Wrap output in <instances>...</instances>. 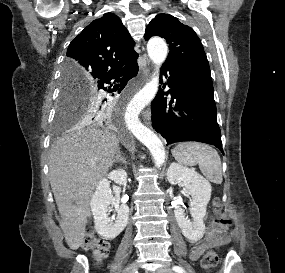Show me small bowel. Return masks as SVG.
I'll return each instance as SVG.
<instances>
[{
	"mask_svg": "<svg viewBox=\"0 0 285 273\" xmlns=\"http://www.w3.org/2000/svg\"><path fill=\"white\" fill-rule=\"evenodd\" d=\"M229 241L230 239L226 233V229L222 228L219 223L211 221L205 240L192 250L191 256L197 259L207 247L225 245L228 244Z\"/></svg>",
	"mask_w": 285,
	"mask_h": 273,
	"instance_id": "c3829d8e",
	"label": "small bowel"
}]
</instances>
